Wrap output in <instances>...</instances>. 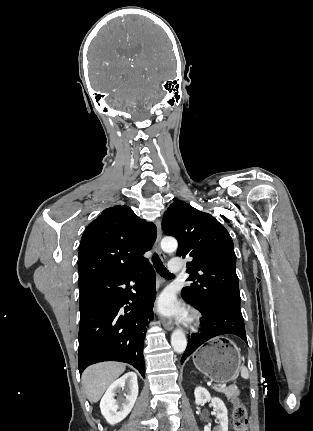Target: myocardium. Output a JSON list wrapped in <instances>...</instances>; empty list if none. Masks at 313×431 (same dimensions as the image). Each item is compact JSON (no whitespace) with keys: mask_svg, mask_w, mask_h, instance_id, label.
Instances as JSON below:
<instances>
[{"mask_svg":"<svg viewBox=\"0 0 313 431\" xmlns=\"http://www.w3.org/2000/svg\"><path fill=\"white\" fill-rule=\"evenodd\" d=\"M190 322L192 324V327L194 329H197L201 324V317H200L199 313L192 312L190 315Z\"/></svg>","mask_w":313,"mask_h":431,"instance_id":"myocardium-1","label":"myocardium"}]
</instances>
